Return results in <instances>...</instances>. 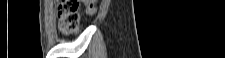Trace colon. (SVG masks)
<instances>
[{"instance_id": "obj_1", "label": "colon", "mask_w": 225, "mask_h": 58, "mask_svg": "<svg viewBox=\"0 0 225 58\" xmlns=\"http://www.w3.org/2000/svg\"><path fill=\"white\" fill-rule=\"evenodd\" d=\"M87 12H94L92 4H89ZM59 27L65 34L75 33L80 25L79 1L61 0L58 4Z\"/></svg>"}]
</instances>
